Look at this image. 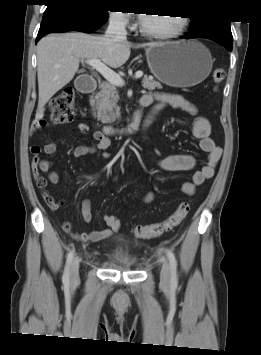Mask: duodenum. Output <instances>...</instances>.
Segmentation results:
<instances>
[{
    "label": "duodenum",
    "instance_id": "obj_1",
    "mask_svg": "<svg viewBox=\"0 0 261 355\" xmlns=\"http://www.w3.org/2000/svg\"><path fill=\"white\" fill-rule=\"evenodd\" d=\"M97 87V81L90 76H82L78 79L76 83V88L81 93H90L94 91ZM140 125V113L135 112L131 122L121 128H116L113 126H104L103 131L107 134H133L137 131Z\"/></svg>",
    "mask_w": 261,
    "mask_h": 355
}]
</instances>
